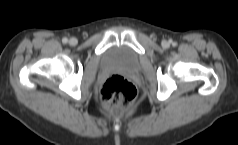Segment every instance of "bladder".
Listing matches in <instances>:
<instances>
[{
    "label": "bladder",
    "instance_id": "bladder-1",
    "mask_svg": "<svg viewBox=\"0 0 238 145\" xmlns=\"http://www.w3.org/2000/svg\"><path fill=\"white\" fill-rule=\"evenodd\" d=\"M100 63L105 69L135 72L140 67V58L135 51L127 46L113 45L104 51Z\"/></svg>",
    "mask_w": 238,
    "mask_h": 145
}]
</instances>
